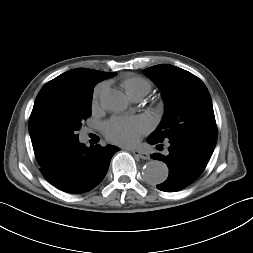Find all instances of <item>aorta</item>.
Segmentation results:
<instances>
[{
    "label": "aorta",
    "instance_id": "762f6f07",
    "mask_svg": "<svg viewBox=\"0 0 253 253\" xmlns=\"http://www.w3.org/2000/svg\"><path fill=\"white\" fill-rule=\"evenodd\" d=\"M101 105L114 113H121L128 107V100L124 93L116 89H108L100 96ZM143 178L152 185L163 183L168 177L167 165L159 160L147 162L142 171Z\"/></svg>",
    "mask_w": 253,
    "mask_h": 253
}]
</instances>
